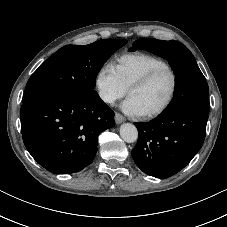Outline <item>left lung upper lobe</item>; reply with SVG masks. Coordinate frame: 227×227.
<instances>
[{"instance_id": "5c2ea615", "label": "left lung upper lobe", "mask_w": 227, "mask_h": 227, "mask_svg": "<svg viewBox=\"0 0 227 227\" xmlns=\"http://www.w3.org/2000/svg\"><path fill=\"white\" fill-rule=\"evenodd\" d=\"M144 49L169 61L175 74L174 98L162 114L183 109L209 112V88L194 56L177 41L141 38L130 50Z\"/></svg>"}]
</instances>
